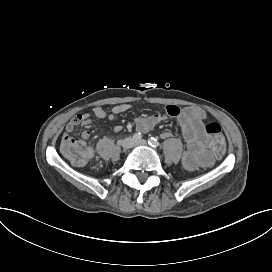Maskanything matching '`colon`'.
Returning a JSON list of instances; mask_svg holds the SVG:
<instances>
[{
	"label": "colon",
	"instance_id": "1",
	"mask_svg": "<svg viewBox=\"0 0 272 272\" xmlns=\"http://www.w3.org/2000/svg\"><path fill=\"white\" fill-rule=\"evenodd\" d=\"M205 133L208 136V147L216 157L223 155L226 147L225 136L220 125L210 122L205 125ZM61 150L77 167H86L90 163L88 145L84 141H77L74 137H65L61 141Z\"/></svg>",
	"mask_w": 272,
	"mask_h": 272
}]
</instances>
